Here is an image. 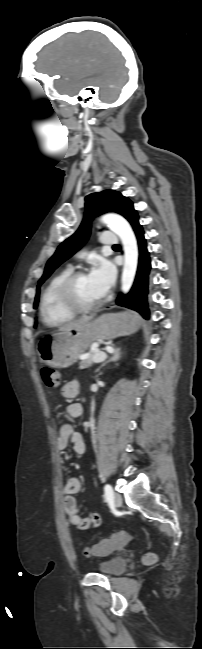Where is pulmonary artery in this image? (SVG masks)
<instances>
[{"label": "pulmonary artery", "mask_w": 202, "mask_h": 649, "mask_svg": "<svg viewBox=\"0 0 202 649\" xmlns=\"http://www.w3.org/2000/svg\"><path fill=\"white\" fill-rule=\"evenodd\" d=\"M118 241V237L111 232H104L100 236V243L107 247H113L114 245L118 244Z\"/></svg>", "instance_id": "e3ab8cb5"}]
</instances>
